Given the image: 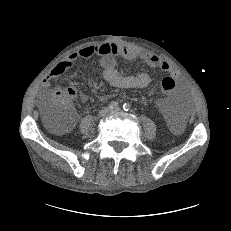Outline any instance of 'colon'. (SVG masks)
<instances>
[{
  "mask_svg": "<svg viewBox=\"0 0 231 231\" xmlns=\"http://www.w3.org/2000/svg\"><path fill=\"white\" fill-rule=\"evenodd\" d=\"M159 90L165 96L172 95L176 90V81L172 75L166 74L160 78ZM75 96L73 88L55 91L44 107V118L47 125L54 130L69 128L75 113L70 106L71 99Z\"/></svg>",
  "mask_w": 231,
  "mask_h": 231,
  "instance_id": "colon-1",
  "label": "colon"
}]
</instances>
